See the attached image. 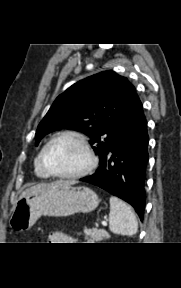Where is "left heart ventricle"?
I'll return each instance as SVG.
<instances>
[{
    "label": "left heart ventricle",
    "mask_w": 181,
    "mask_h": 288,
    "mask_svg": "<svg viewBox=\"0 0 181 288\" xmlns=\"http://www.w3.org/2000/svg\"><path fill=\"white\" fill-rule=\"evenodd\" d=\"M46 162L53 171L69 174L79 171L86 164V154L75 139L62 138L48 148Z\"/></svg>",
    "instance_id": "obj_1"
}]
</instances>
